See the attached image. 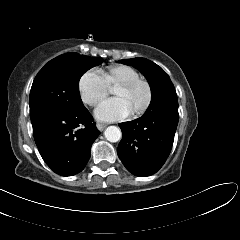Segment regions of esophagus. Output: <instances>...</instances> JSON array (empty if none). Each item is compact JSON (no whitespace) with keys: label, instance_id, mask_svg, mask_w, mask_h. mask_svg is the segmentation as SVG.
Returning <instances> with one entry per match:
<instances>
[{"label":"esophagus","instance_id":"34e87169","mask_svg":"<svg viewBox=\"0 0 240 240\" xmlns=\"http://www.w3.org/2000/svg\"><path fill=\"white\" fill-rule=\"evenodd\" d=\"M106 126H107V125H106L105 123H97V128H98L100 131H103Z\"/></svg>","mask_w":240,"mask_h":240}]
</instances>
